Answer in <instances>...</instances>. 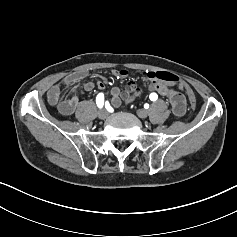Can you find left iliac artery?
<instances>
[{"instance_id": "obj_1", "label": "left iliac artery", "mask_w": 237, "mask_h": 237, "mask_svg": "<svg viewBox=\"0 0 237 237\" xmlns=\"http://www.w3.org/2000/svg\"><path fill=\"white\" fill-rule=\"evenodd\" d=\"M149 98L151 101H156L158 99V95L156 93H151Z\"/></svg>"}]
</instances>
